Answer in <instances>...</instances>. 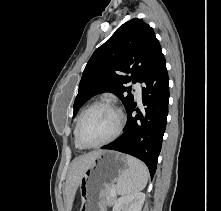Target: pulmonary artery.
Returning <instances> with one entry per match:
<instances>
[{"label":"pulmonary artery","mask_w":221,"mask_h":211,"mask_svg":"<svg viewBox=\"0 0 221 211\" xmlns=\"http://www.w3.org/2000/svg\"><path fill=\"white\" fill-rule=\"evenodd\" d=\"M135 88V95L137 98H141V94H142V88H141V84L140 83H136L134 85Z\"/></svg>","instance_id":"e3ab8cb5"}]
</instances>
